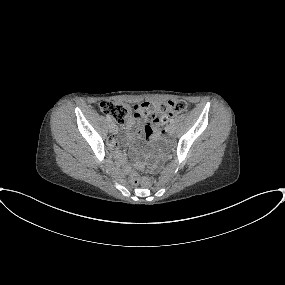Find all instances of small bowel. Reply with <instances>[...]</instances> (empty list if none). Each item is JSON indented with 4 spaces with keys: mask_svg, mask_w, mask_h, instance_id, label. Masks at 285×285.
I'll list each match as a JSON object with an SVG mask.
<instances>
[{
    "mask_svg": "<svg viewBox=\"0 0 285 285\" xmlns=\"http://www.w3.org/2000/svg\"><path fill=\"white\" fill-rule=\"evenodd\" d=\"M145 132L147 136L154 137L156 134L160 132L159 125L156 122L146 123L142 125V123L136 119H131L129 121L127 132L133 134L137 137L141 135L142 132ZM114 144L113 140H110L108 143L109 148H112Z\"/></svg>",
    "mask_w": 285,
    "mask_h": 285,
    "instance_id": "obj_1",
    "label": "small bowel"
}]
</instances>
